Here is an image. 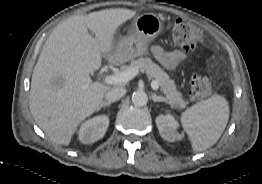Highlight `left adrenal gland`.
I'll return each instance as SVG.
<instances>
[{
	"label": "left adrenal gland",
	"instance_id": "obj_1",
	"mask_svg": "<svg viewBox=\"0 0 262 184\" xmlns=\"http://www.w3.org/2000/svg\"><path fill=\"white\" fill-rule=\"evenodd\" d=\"M151 98H152V100H153L154 102H165V103L170 104V105L172 106V104H171L167 99H165V98L162 97V96H157L155 93H153V94L151 95Z\"/></svg>",
	"mask_w": 262,
	"mask_h": 184
}]
</instances>
